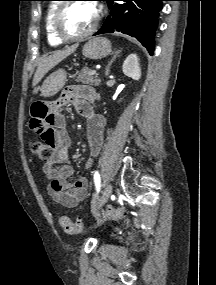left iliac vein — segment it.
Instances as JSON below:
<instances>
[{
  "label": "left iliac vein",
  "instance_id": "left-iliac-vein-1",
  "mask_svg": "<svg viewBox=\"0 0 216 285\" xmlns=\"http://www.w3.org/2000/svg\"><path fill=\"white\" fill-rule=\"evenodd\" d=\"M113 192V187L111 184H108L103 193H102V196L99 200V205H98V209H100L107 201L108 199L110 198L111 194Z\"/></svg>",
  "mask_w": 216,
  "mask_h": 285
}]
</instances>
